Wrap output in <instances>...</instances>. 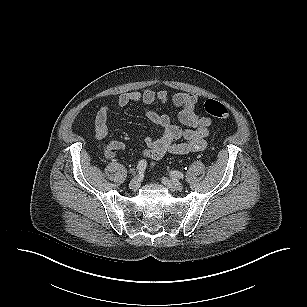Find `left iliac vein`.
Returning a JSON list of instances; mask_svg holds the SVG:
<instances>
[{
	"label": "left iliac vein",
	"instance_id": "left-iliac-vein-1",
	"mask_svg": "<svg viewBox=\"0 0 307 307\" xmlns=\"http://www.w3.org/2000/svg\"><path fill=\"white\" fill-rule=\"evenodd\" d=\"M163 184L171 191H182L183 185L176 179L162 178Z\"/></svg>",
	"mask_w": 307,
	"mask_h": 307
}]
</instances>
